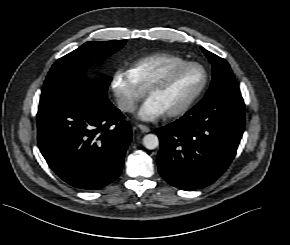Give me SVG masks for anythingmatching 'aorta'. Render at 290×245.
<instances>
[{"mask_svg": "<svg viewBox=\"0 0 290 245\" xmlns=\"http://www.w3.org/2000/svg\"><path fill=\"white\" fill-rule=\"evenodd\" d=\"M143 145L150 150H153L159 146V138L155 134H147L143 138Z\"/></svg>", "mask_w": 290, "mask_h": 245, "instance_id": "762f6f07", "label": "aorta"}]
</instances>
